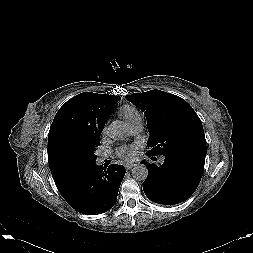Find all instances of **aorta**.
I'll use <instances>...</instances> for the list:
<instances>
[{
  "label": "aorta",
  "instance_id": "obj_1",
  "mask_svg": "<svg viewBox=\"0 0 253 253\" xmlns=\"http://www.w3.org/2000/svg\"><path fill=\"white\" fill-rule=\"evenodd\" d=\"M107 135L114 140H123L128 136V127L123 122L114 121L108 126ZM132 176L138 181H144L148 177L147 166L136 164L132 168Z\"/></svg>",
  "mask_w": 253,
  "mask_h": 253
}]
</instances>
